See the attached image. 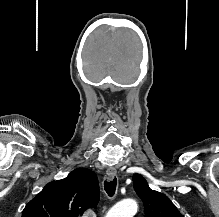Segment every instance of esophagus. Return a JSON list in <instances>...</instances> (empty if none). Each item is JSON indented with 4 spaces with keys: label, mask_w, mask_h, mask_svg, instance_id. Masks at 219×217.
<instances>
[{
    "label": "esophagus",
    "mask_w": 219,
    "mask_h": 217,
    "mask_svg": "<svg viewBox=\"0 0 219 217\" xmlns=\"http://www.w3.org/2000/svg\"><path fill=\"white\" fill-rule=\"evenodd\" d=\"M106 174H107V178L109 180H112L117 176V171L114 168H109L107 169Z\"/></svg>",
    "instance_id": "obj_1"
}]
</instances>
